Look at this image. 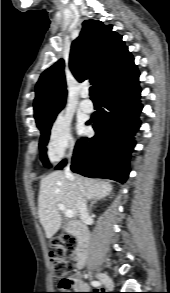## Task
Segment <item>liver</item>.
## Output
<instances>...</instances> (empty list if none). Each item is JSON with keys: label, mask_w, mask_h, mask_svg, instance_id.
I'll return each mask as SVG.
<instances>
[{"label": "liver", "mask_w": 170, "mask_h": 293, "mask_svg": "<svg viewBox=\"0 0 170 293\" xmlns=\"http://www.w3.org/2000/svg\"><path fill=\"white\" fill-rule=\"evenodd\" d=\"M74 188L63 171H54L40 182L38 197V215L46 237L51 238L61 226V214L58 204L79 216L76 197L83 199H101L110 194L112 185L105 181L94 180L80 175L73 176Z\"/></svg>", "instance_id": "1"}]
</instances>
